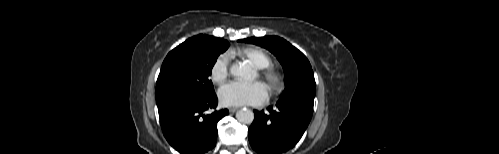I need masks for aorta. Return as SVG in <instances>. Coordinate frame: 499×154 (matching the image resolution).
<instances>
[{
	"label": "aorta",
	"instance_id": "762f6f07",
	"mask_svg": "<svg viewBox=\"0 0 499 154\" xmlns=\"http://www.w3.org/2000/svg\"><path fill=\"white\" fill-rule=\"evenodd\" d=\"M230 73L240 79L250 80L254 77L252 68L245 63L234 64L230 68ZM236 119L244 124H251L254 120V113L250 109H241L236 113Z\"/></svg>",
	"mask_w": 499,
	"mask_h": 154
}]
</instances>
